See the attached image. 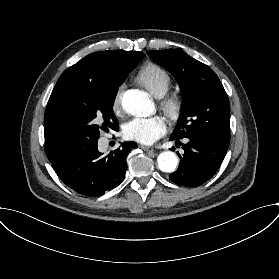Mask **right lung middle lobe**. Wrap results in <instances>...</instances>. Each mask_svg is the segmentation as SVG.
<instances>
[{"label": "right lung middle lobe", "mask_w": 279, "mask_h": 279, "mask_svg": "<svg viewBox=\"0 0 279 279\" xmlns=\"http://www.w3.org/2000/svg\"><path fill=\"white\" fill-rule=\"evenodd\" d=\"M134 67L115 78L68 81L54 87L44 116L49 161L85 148L99 138L101 130H118L114 100L118 87Z\"/></svg>", "instance_id": "1"}]
</instances>
